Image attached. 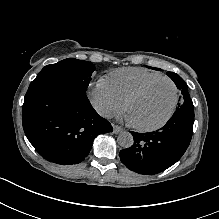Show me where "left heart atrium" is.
<instances>
[{
	"mask_svg": "<svg viewBox=\"0 0 219 219\" xmlns=\"http://www.w3.org/2000/svg\"><path fill=\"white\" fill-rule=\"evenodd\" d=\"M128 119L131 121V118L129 117V115H128Z\"/></svg>",
	"mask_w": 219,
	"mask_h": 219,
	"instance_id": "obj_1",
	"label": "left heart atrium"
}]
</instances>
